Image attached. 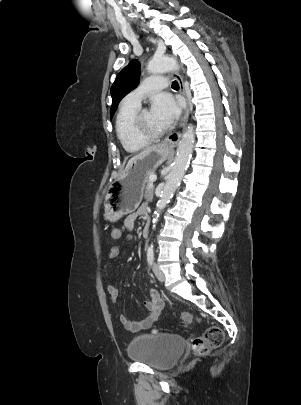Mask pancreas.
Listing matches in <instances>:
<instances>
[{"mask_svg": "<svg viewBox=\"0 0 301 405\" xmlns=\"http://www.w3.org/2000/svg\"><path fill=\"white\" fill-rule=\"evenodd\" d=\"M151 176V175H150ZM150 176L147 180L146 186H145V199L147 201H152L153 200V191L154 187L152 186V182L150 181Z\"/></svg>", "mask_w": 301, "mask_h": 405, "instance_id": "obj_1", "label": "pancreas"}]
</instances>
